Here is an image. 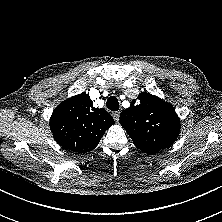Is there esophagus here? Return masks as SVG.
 Instances as JSON below:
<instances>
[{
	"mask_svg": "<svg viewBox=\"0 0 222 222\" xmlns=\"http://www.w3.org/2000/svg\"><path fill=\"white\" fill-rule=\"evenodd\" d=\"M112 116L115 119V121L118 122L119 121V117H120V112L119 111L113 112Z\"/></svg>",
	"mask_w": 222,
	"mask_h": 222,
	"instance_id": "34e87169",
	"label": "esophagus"
}]
</instances>
